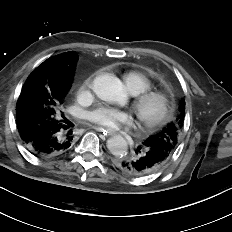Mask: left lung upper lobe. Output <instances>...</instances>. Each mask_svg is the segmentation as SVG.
<instances>
[{"label": "left lung upper lobe", "instance_id": "obj_1", "mask_svg": "<svg viewBox=\"0 0 232 232\" xmlns=\"http://www.w3.org/2000/svg\"><path fill=\"white\" fill-rule=\"evenodd\" d=\"M184 117L185 103L182 99L179 104L176 119L173 122L167 124L158 133L148 137L144 142L157 145L166 150L171 155L177 146L178 137L184 123Z\"/></svg>", "mask_w": 232, "mask_h": 232}]
</instances>
